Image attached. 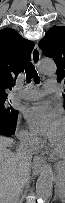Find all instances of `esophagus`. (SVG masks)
I'll return each instance as SVG.
<instances>
[{
  "label": "esophagus",
  "mask_w": 65,
  "mask_h": 203,
  "mask_svg": "<svg viewBox=\"0 0 65 203\" xmlns=\"http://www.w3.org/2000/svg\"><path fill=\"white\" fill-rule=\"evenodd\" d=\"M41 53L37 45H35L32 51V62L34 65H37L40 61ZM45 164V160L42 157L35 156L33 159V169L39 171L42 166Z\"/></svg>",
  "instance_id": "obj_1"
}]
</instances>
